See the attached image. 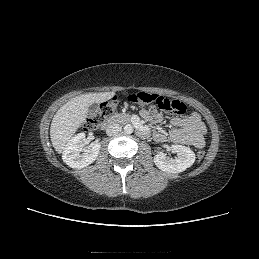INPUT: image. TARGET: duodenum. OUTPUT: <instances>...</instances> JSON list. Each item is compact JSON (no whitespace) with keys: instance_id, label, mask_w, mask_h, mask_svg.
<instances>
[{"instance_id":"obj_1","label":"duodenum","mask_w":259,"mask_h":259,"mask_svg":"<svg viewBox=\"0 0 259 259\" xmlns=\"http://www.w3.org/2000/svg\"><path fill=\"white\" fill-rule=\"evenodd\" d=\"M117 121V118H111L107 121H105L102 125V129H108L110 128L111 126H113ZM133 122L135 123L136 125V128H137V133L139 136L141 137H146L148 136L149 132L147 129H145L143 126L139 125L137 120H133Z\"/></svg>"}]
</instances>
